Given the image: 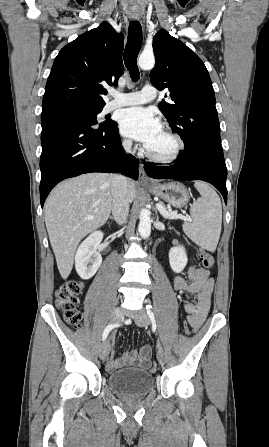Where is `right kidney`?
<instances>
[{
	"label": "right kidney",
	"instance_id": "ca27d5eb",
	"mask_svg": "<svg viewBox=\"0 0 269 447\" xmlns=\"http://www.w3.org/2000/svg\"><path fill=\"white\" fill-rule=\"evenodd\" d=\"M103 235V231H93L80 243L75 253L76 271L82 279L93 277L102 263L101 253L97 251V247L102 241Z\"/></svg>",
	"mask_w": 269,
	"mask_h": 447
}]
</instances>
